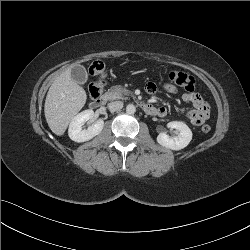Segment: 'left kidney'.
I'll use <instances>...</instances> for the list:
<instances>
[{"instance_id": "obj_1", "label": "left kidney", "mask_w": 250, "mask_h": 250, "mask_svg": "<svg viewBox=\"0 0 250 250\" xmlns=\"http://www.w3.org/2000/svg\"><path fill=\"white\" fill-rule=\"evenodd\" d=\"M167 127L178 130L179 134L177 136L170 137L165 132L160 133L157 136V142L161 146L171 150H181L192 140V131L185 123L172 121L167 124Z\"/></svg>"}]
</instances>
